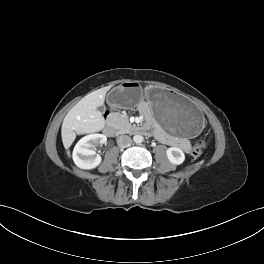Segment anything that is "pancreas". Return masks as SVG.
<instances>
[{"mask_svg": "<svg viewBox=\"0 0 264 264\" xmlns=\"http://www.w3.org/2000/svg\"><path fill=\"white\" fill-rule=\"evenodd\" d=\"M111 118L117 129L124 132L131 128V123L129 122L127 115L115 112L112 113Z\"/></svg>", "mask_w": 264, "mask_h": 264, "instance_id": "cf45deb5", "label": "pancreas"}]
</instances>
